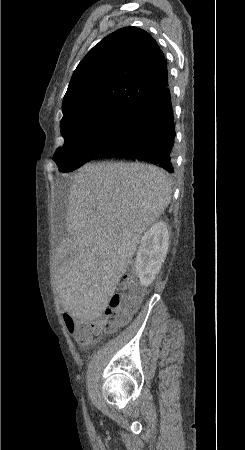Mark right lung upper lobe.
I'll return each instance as SVG.
<instances>
[{
    "instance_id": "cb5924a9",
    "label": "right lung upper lobe",
    "mask_w": 245,
    "mask_h": 450,
    "mask_svg": "<svg viewBox=\"0 0 245 450\" xmlns=\"http://www.w3.org/2000/svg\"><path fill=\"white\" fill-rule=\"evenodd\" d=\"M168 86L166 60L146 31L125 27L94 46L75 69L63 98V117L116 103L138 109Z\"/></svg>"
}]
</instances>
